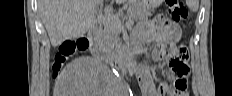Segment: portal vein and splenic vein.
Returning <instances> with one entry per match:
<instances>
[{
  "instance_id": "obj_1",
  "label": "portal vein and splenic vein",
  "mask_w": 232,
  "mask_h": 96,
  "mask_svg": "<svg viewBox=\"0 0 232 96\" xmlns=\"http://www.w3.org/2000/svg\"><path fill=\"white\" fill-rule=\"evenodd\" d=\"M109 16H110L111 18H115V16H114L113 14H111V13H109ZM129 23H130V24H133V23H134V21H133V20H131V21H129Z\"/></svg>"
}]
</instances>
